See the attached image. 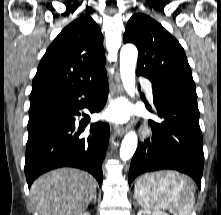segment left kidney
<instances>
[{
	"label": "left kidney",
	"mask_w": 221,
	"mask_h": 215,
	"mask_svg": "<svg viewBox=\"0 0 221 215\" xmlns=\"http://www.w3.org/2000/svg\"><path fill=\"white\" fill-rule=\"evenodd\" d=\"M137 215H168L167 213L151 210H140Z\"/></svg>",
	"instance_id": "5707ae66"
}]
</instances>
